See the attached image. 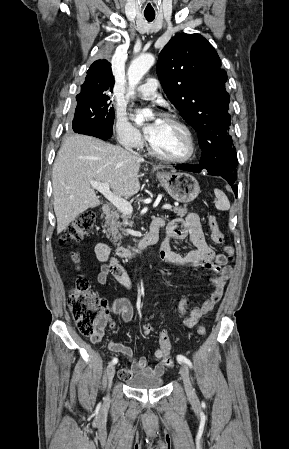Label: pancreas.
I'll list each match as a JSON object with an SVG mask.
<instances>
[{
    "mask_svg": "<svg viewBox=\"0 0 289 449\" xmlns=\"http://www.w3.org/2000/svg\"><path fill=\"white\" fill-rule=\"evenodd\" d=\"M174 213H176L178 216H185L187 214L188 210L186 207H174L172 209ZM130 215H126L122 213L119 210L112 211L110 214L106 216V221L104 224V232H108V236H112V241L114 243L120 242L123 235H126V227H132L133 222L129 221ZM122 221H121V220Z\"/></svg>",
    "mask_w": 289,
    "mask_h": 449,
    "instance_id": "obj_1",
    "label": "pancreas"
}]
</instances>
